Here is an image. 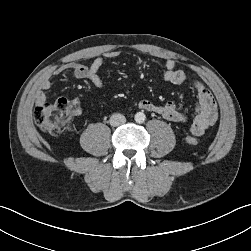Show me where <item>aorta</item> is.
I'll return each instance as SVG.
<instances>
[{
    "mask_svg": "<svg viewBox=\"0 0 251 251\" xmlns=\"http://www.w3.org/2000/svg\"><path fill=\"white\" fill-rule=\"evenodd\" d=\"M134 119L137 123H143L146 119V116L143 112H138L135 114Z\"/></svg>",
    "mask_w": 251,
    "mask_h": 251,
    "instance_id": "aorta-1",
    "label": "aorta"
}]
</instances>
